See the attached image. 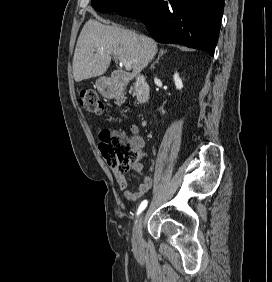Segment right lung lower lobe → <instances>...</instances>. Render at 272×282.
Instances as JSON below:
<instances>
[{"instance_id":"98d812e1","label":"right lung lower lobe","mask_w":272,"mask_h":282,"mask_svg":"<svg viewBox=\"0 0 272 282\" xmlns=\"http://www.w3.org/2000/svg\"><path fill=\"white\" fill-rule=\"evenodd\" d=\"M223 9L224 0H141L117 13L141 20L160 43H180L213 56Z\"/></svg>"}]
</instances>
